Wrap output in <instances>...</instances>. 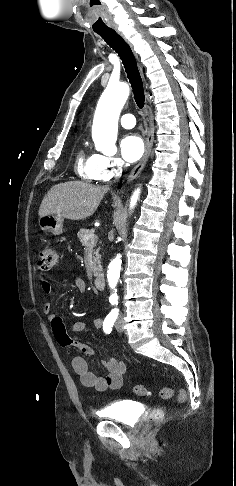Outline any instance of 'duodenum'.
<instances>
[{"label": "duodenum", "mask_w": 236, "mask_h": 486, "mask_svg": "<svg viewBox=\"0 0 236 486\" xmlns=\"http://www.w3.org/2000/svg\"><path fill=\"white\" fill-rule=\"evenodd\" d=\"M94 285L98 290L105 289V276L103 273H97L94 277Z\"/></svg>", "instance_id": "1"}]
</instances>
